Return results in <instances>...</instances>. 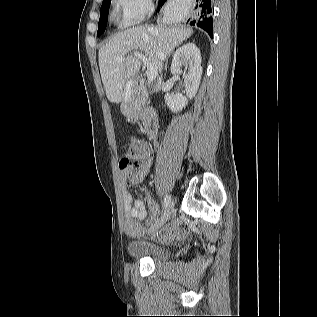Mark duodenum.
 Instances as JSON below:
<instances>
[{
  "label": "duodenum",
  "mask_w": 317,
  "mask_h": 317,
  "mask_svg": "<svg viewBox=\"0 0 317 317\" xmlns=\"http://www.w3.org/2000/svg\"><path fill=\"white\" fill-rule=\"evenodd\" d=\"M120 105L124 115H135V113L142 115L148 139L156 138L158 134V118L152 109L144 110V108L138 106L137 110H135V102L132 100H121Z\"/></svg>",
  "instance_id": "obj_1"
}]
</instances>
